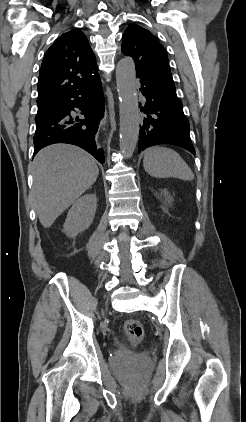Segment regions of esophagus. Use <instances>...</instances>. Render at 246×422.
<instances>
[{
    "label": "esophagus",
    "instance_id": "1",
    "mask_svg": "<svg viewBox=\"0 0 246 422\" xmlns=\"http://www.w3.org/2000/svg\"><path fill=\"white\" fill-rule=\"evenodd\" d=\"M106 117H107V113L105 114V119H104L103 124H105V123H106Z\"/></svg>",
    "mask_w": 246,
    "mask_h": 422
}]
</instances>
